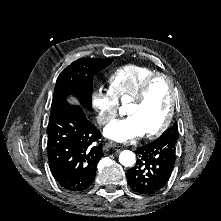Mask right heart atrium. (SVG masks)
<instances>
[{"label":"right heart atrium","mask_w":221,"mask_h":221,"mask_svg":"<svg viewBox=\"0 0 221 221\" xmlns=\"http://www.w3.org/2000/svg\"><path fill=\"white\" fill-rule=\"evenodd\" d=\"M118 105V98L109 89L98 88L92 93V106L100 125H107L116 118Z\"/></svg>","instance_id":"right-heart-atrium-1"}]
</instances>
